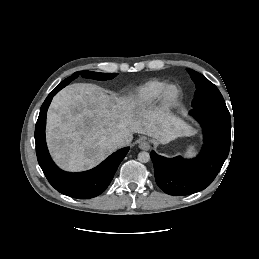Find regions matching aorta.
Wrapping results in <instances>:
<instances>
[{
  "mask_svg": "<svg viewBox=\"0 0 259 259\" xmlns=\"http://www.w3.org/2000/svg\"><path fill=\"white\" fill-rule=\"evenodd\" d=\"M138 160H139L140 162H142V163H147V162L150 160V155H149V153H148V152H145V151L140 152V153L138 154Z\"/></svg>",
  "mask_w": 259,
  "mask_h": 259,
  "instance_id": "aorta-1",
  "label": "aorta"
}]
</instances>
